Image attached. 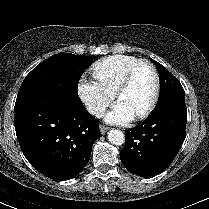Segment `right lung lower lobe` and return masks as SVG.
I'll return each mask as SVG.
<instances>
[{"label":"right lung lower lobe","instance_id":"right-lung-lower-lobe-1","mask_svg":"<svg viewBox=\"0 0 209 209\" xmlns=\"http://www.w3.org/2000/svg\"><path fill=\"white\" fill-rule=\"evenodd\" d=\"M14 110L21 150L37 171L62 181L84 169L101 133L77 92L59 85L39 87L16 99Z\"/></svg>","mask_w":209,"mask_h":209}]
</instances>
